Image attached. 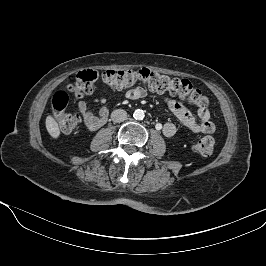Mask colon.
Returning <instances> with one entry per match:
<instances>
[{
    "instance_id": "obj_1",
    "label": "colon",
    "mask_w": 266,
    "mask_h": 266,
    "mask_svg": "<svg viewBox=\"0 0 266 266\" xmlns=\"http://www.w3.org/2000/svg\"><path fill=\"white\" fill-rule=\"evenodd\" d=\"M101 81L113 89H126L137 83H142L152 91L158 93H169L184 99L195 105L198 109L208 107L207 98L195 89L186 79L172 78L151 71L147 68L139 70H107L101 74L96 71L86 70L79 72L74 82L69 84L68 89L77 97H82L92 93L96 84ZM68 95L65 91H57L52 97V113L60 129L64 133H70L75 130L80 117L76 113H67ZM191 149L194 153L208 156L214 150V139L205 136L192 143Z\"/></svg>"
}]
</instances>
